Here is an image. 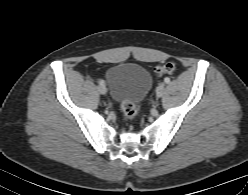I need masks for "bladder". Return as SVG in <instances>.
<instances>
[{
  "label": "bladder",
  "mask_w": 248,
  "mask_h": 195,
  "mask_svg": "<svg viewBox=\"0 0 248 195\" xmlns=\"http://www.w3.org/2000/svg\"><path fill=\"white\" fill-rule=\"evenodd\" d=\"M106 82L115 101L139 104L152 86V77L138 64L118 63L107 70Z\"/></svg>",
  "instance_id": "31cf9c89"
}]
</instances>
